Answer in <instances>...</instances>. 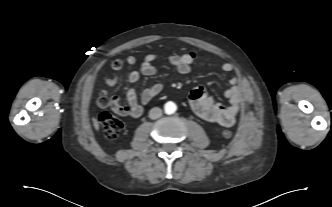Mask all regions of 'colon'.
Returning a JSON list of instances; mask_svg holds the SVG:
<instances>
[{
    "mask_svg": "<svg viewBox=\"0 0 332 207\" xmlns=\"http://www.w3.org/2000/svg\"><path fill=\"white\" fill-rule=\"evenodd\" d=\"M128 58L116 60L113 63L114 69H120L124 64H126ZM97 105L103 109L100 113V121L104 128V133L107 138L115 139L119 136L123 129V123L116 116L106 111V108H111L117 114L123 115L127 112L126 107L120 105L119 99L117 97H109L107 89L101 88L97 95ZM232 132L230 130H224L222 132V137L225 139H230L232 137Z\"/></svg>",
    "mask_w": 332,
    "mask_h": 207,
    "instance_id": "colon-1",
    "label": "colon"
}]
</instances>
